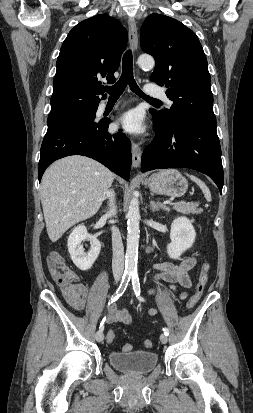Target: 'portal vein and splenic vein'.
Here are the masks:
<instances>
[{"label":"portal vein and splenic vein","mask_w":253,"mask_h":413,"mask_svg":"<svg viewBox=\"0 0 253 413\" xmlns=\"http://www.w3.org/2000/svg\"><path fill=\"white\" fill-rule=\"evenodd\" d=\"M173 201V199L167 200L165 201V203H171Z\"/></svg>","instance_id":"portal-vein-and-splenic-vein-1"}]
</instances>
